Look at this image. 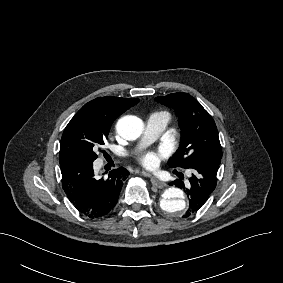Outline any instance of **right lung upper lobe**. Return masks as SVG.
Returning <instances> with one entry per match:
<instances>
[{
	"mask_svg": "<svg viewBox=\"0 0 283 283\" xmlns=\"http://www.w3.org/2000/svg\"><path fill=\"white\" fill-rule=\"evenodd\" d=\"M139 102V99L118 98L106 96L96 98L85 104L79 113H91L102 116L106 121L112 122L123 112L133 107Z\"/></svg>",
	"mask_w": 283,
	"mask_h": 283,
	"instance_id": "cb5924a9",
	"label": "right lung upper lobe"
}]
</instances>
